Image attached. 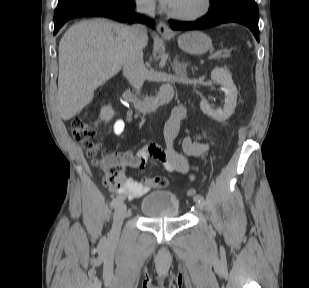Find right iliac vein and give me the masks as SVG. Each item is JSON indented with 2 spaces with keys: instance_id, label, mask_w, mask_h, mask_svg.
<instances>
[{
  "instance_id": "obj_1",
  "label": "right iliac vein",
  "mask_w": 309,
  "mask_h": 288,
  "mask_svg": "<svg viewBox=\"0 0 309 288\" xmlns=\"http://www.w3.org/2000/svg\"><path fill=\"white\" fill-rule=\"evenodd\" d=\"M126 205L121 200L116 206L114 217H113V227L111 231V239L116 240L119 237L121 225L126 216Z\"/></svg>"
}]
</instances>
